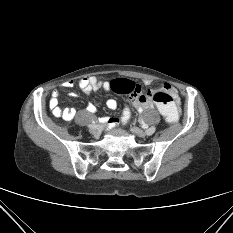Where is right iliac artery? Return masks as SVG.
Returning <instances> with one entry per match:
<instances>
[{
	"mask_svg": "<svg viewBox=\"0 0 233 233\" xmlns=\"http://www.w3.org/2000/svg\"><path fill=\"white\" fill-rule=\"evenodd\" d=\"M89 128H103V125H100V124H90L89 126H88Z\"/></svg>",
	"mask_w": 233,
	"mask_h": 233,
	"instance_id": "obj_1",
	"label": "right iliac artery"
}]
</instances>
